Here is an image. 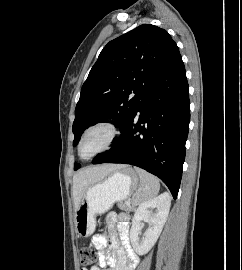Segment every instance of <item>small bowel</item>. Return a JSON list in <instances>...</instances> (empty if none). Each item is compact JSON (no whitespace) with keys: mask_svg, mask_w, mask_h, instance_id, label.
<instances>
[{"mask_svg":"<svg viewBox=\"0 0 242 270\" xmlns=\"http://www.w3.org/2000/svg\"><path fill=\"white\" fill-rule=\"evenodd\" d=\"M130 216L109 213L106 216L107 234L94 235L92 245L99 250L100 267L105 270H135L139 258L129 242ZM90 270H100L92 267Z\"/></svg>","mask_w":242,"mask_h":270,"instance_id":"small-bowel-1","label":"small bowel"}]
</instances>
